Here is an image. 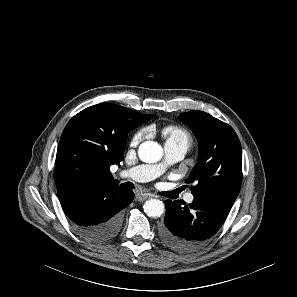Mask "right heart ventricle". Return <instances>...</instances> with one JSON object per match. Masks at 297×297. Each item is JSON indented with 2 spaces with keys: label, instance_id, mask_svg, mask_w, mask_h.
Instances as JSON below:
<instances>
[{
  "label": "right heart ventricle",
  "instance_id": "1",
  "mask_svg": "<svg viewBox=\"0 0 297 297\" xmlns=\"http://www.w3.org/2000/svg\"><path fill=\"white\" fill-rule=\"evenodd\" d=\"M162 134L166 140V143H181L185 142L191 144V135L182 127L179 126H167L163 129Z\"/></svg>",
  "mask_w": 297,
  "mask_h": 297
}]
</instances>
